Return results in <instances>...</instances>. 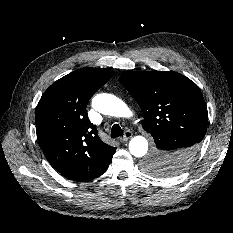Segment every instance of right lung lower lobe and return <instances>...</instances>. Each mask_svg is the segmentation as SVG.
<instances>
[{
	"mask_svg": "<svg viewBox=\"0 0 233 233\" xmlns=\"http://www.w3.org/2000/svg\"><path fill=\"white\" fill-rule=\"evenodd\" d=\"M111 159L108 161V163L103 168H101L100 171H98L96 173L77 172V173L73 174L68 179L73 180V181H87V180L93 179V178L103 174L106 171V169L109 166V163L111 162Z\"/></svg>",
	"mask_w": 233,
	"mask_h": 233,
	"instance_id": "obj_1",
	"label": "right lung lower lobe"
}]
</instances>
